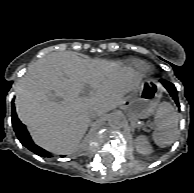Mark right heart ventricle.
I'll list each match as a JSON object with an SVG mask.
<instances>
[{
	"label": "right heart ventricle",
	"instance_id": "right-heart-ventricle-1",
	"mask_svg": "<svg viewBox=\"0 0 194 193\" xmlns=\"http://www.w3.org/2000/svg\"><path fill=\"white\" fill-rule=\"evenodd\" d=\"M130 69L137 75H143L148 71V65L139 60H132L129 63Z\"/></svg>",
	"mask_w": 194,
	"mask_h": 193
}]
</instances>
